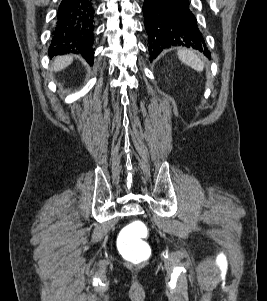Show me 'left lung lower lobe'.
Masks as SVG:
<instances>
[{
  "label": "left lung lower lobe",
  "instance_id": "left-lung-lower-lobe-1",
  "mask_svg": "<svg viewBox=\"0 0 267 301\" xmlns=\"http://www.w3.org/2000/svg\"><path fill=\"white\" fill-rule=\"evenodd\" d=\"M143 14L150 60L171 46L192 47L210 58L190 0H144Z\"/></svg>",
  "mask_w": 267,
  "mask_h": 301
}]
</instances>
